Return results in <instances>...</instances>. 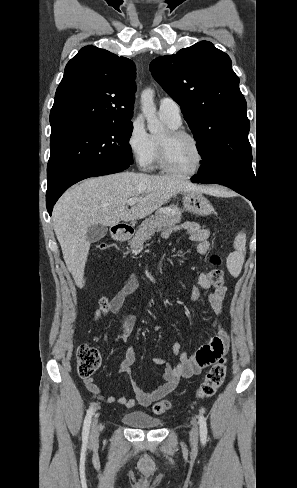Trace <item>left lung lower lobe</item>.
Here are the masks:
<instances>
[{
    "mask_svg": "<svg viewBox=\"0 0 297 488\" xmlns=\"http://www.w3.org/2000/svg\"><path fill=\"white\" fill-rule=\"evenodd\" d=\"M192 182L194 183H204V184H221L226 187H229L236 191L237 193L243 195L247 199L251 200L252 203H255V193L256 188L242 180L235 179L232 177H217L211 178L207 180H203L198 178L196 175L192 177Z\"/></svg>",
    "mask_w": 297,
    "mask_h": 488,
    "instance_id": "0a47b994",
    "label": "left lung lower lobe"
}]
</instances>
